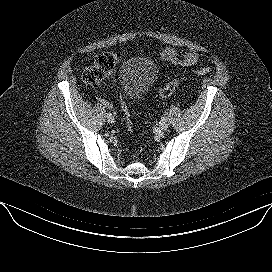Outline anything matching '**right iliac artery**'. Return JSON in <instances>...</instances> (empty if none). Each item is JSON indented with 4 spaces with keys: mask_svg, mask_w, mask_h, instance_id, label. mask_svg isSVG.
<instances>
[{
    "mask_svg": "<svg viewBox=\"0 0 272 272\" xmlns=\"http://www.w3.org/2000/svg\"><path fill=\"white\" fill-rule=\"evenodd\" d=\"M107 117H112V112H107Z\"/></svg>",
    "mask_w": 272,
    "mask_h": 272,
    "instance_id": "right-iliac-artery-1",
    "label": "right iliac artery"
}]
</instances>
